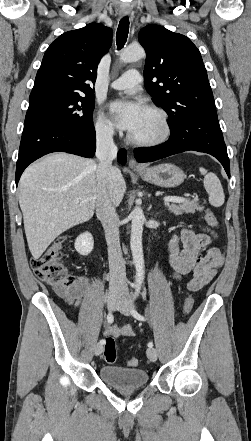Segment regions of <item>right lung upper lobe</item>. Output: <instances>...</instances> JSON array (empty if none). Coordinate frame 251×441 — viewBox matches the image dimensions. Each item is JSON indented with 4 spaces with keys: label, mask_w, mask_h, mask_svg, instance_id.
Returning a JSON list of instances; mask_svg holds the SVG:
<instances>
[{
    "label": "right lung upper lobe",
    "mask_w": 251,
    "mask_h": 441,
    "mask_svg": "<svg viewBox=\"0 0 251 441\" xmlns=\"http://www.w3.org/2000/svg\"><path fill=\"white\" fill-rule=\"evenodd\" d=\"M112 43V30L102 24L60 35L46 50L29 101L53 96H94L97 67Z\"/></svg>",
    "instance_id": "right-lung-upper-lobe-1"
}]
</instances>
